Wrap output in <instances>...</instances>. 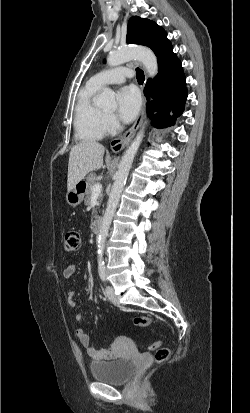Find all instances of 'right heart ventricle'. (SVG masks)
Segmentation results:
<instances>
[{
	"label": "right heart ventricle",
	"instance_id": "obj_1",
	"mask_svg": "<svg viewBox=\"0 0 250 413\" xmlns=\"http://www.w3.org/2000/svg\"><path fill=\"white\" fill-rule=\"evenodd\" d=\"M100 86L90 80L79 92L75 108L74 133L80 142L97 141L105 134V112L94 103Z\"/></svg>",
	"mask_w": 250,
	"mask_h": 413
}]
</instances>
